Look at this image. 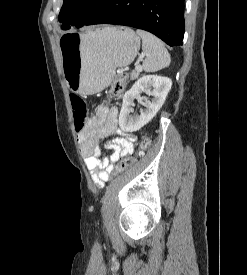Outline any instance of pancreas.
I'll return each mask as SVG.
<instances>
[{
    "mask_svg": "<svg viewBox=\"0 0 247 275\" xmlns=\"http://www.w3.org/2000/svg\"><path fill=\"white\" fill-rule=\"evenodd\" d=\"M139 71H137V70H134V71H132L131 73H130V79L131 80H135V79H137L138 77H139Z\"/></svg>",
    "mask_w": 247,
    "mask_h": 275,
    "instance_id": "cf45deb5",
    "label": "pancreas"
}]
</instances>
